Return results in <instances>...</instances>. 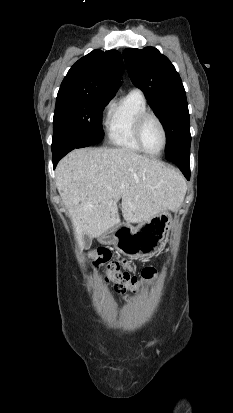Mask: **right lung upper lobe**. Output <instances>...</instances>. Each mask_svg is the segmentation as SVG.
<instances>
[{
    "instance_id": "cb5924a9",
    "label": "right lung upper lobe",
    "mask_w": 233,
    "mask_h": 413,
    "mask_svg": "<svg viewBox=\"0 0 233 413\" xmlns=\"http://www.w3.org/2000/svg\"><path fill=\"white\" fill-rule=\"evenodd\" d=\"M122 56L116 50H94L79 59L63 79L59 92L113 97L121 85Z\"/></svg>"
}]
</instances>
